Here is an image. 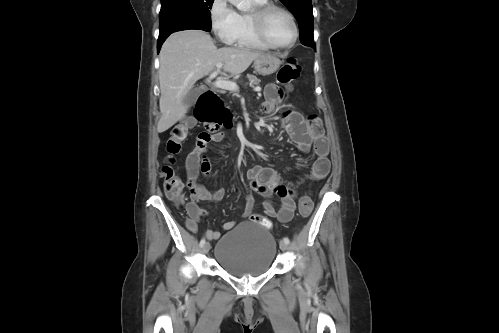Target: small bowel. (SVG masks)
Here are the masks:
<instances>
[{
	"mask_svg": "<svg viewBox=\"0 0 499 333\" xmlns=\"http://www.w3.org/2000/svg\"><path fill=\"white\" fill-rule=\"evenodd\" d=\"M265 101L261 106L264 113H271L275 107L282 101L284 92L282 89L270 83L265 87ZM283 126L288 132L292 141L298 149L304 153L313 151L315 160L312 165L311 178L315 181L324 179L330 171V161L328 159L329 146L324 135V129L321 120L317 116L304 117L295 110H287L283 113ZM223 133L202 132L198 136L195 149L188 155L186 160L187 181L186 185L190 192V201L187 209L190 214L195 213L196 217L204 214L200 208L199 202H218L224 196V189L220 188L210 191L200 183V176L208 177L211 174V163L207 156L208 146L211 142H219L223 139ZM246 177L249 188L265 198L263 211L269 217L277 218L282 223L289 222L295 211V190L283 184L277 177L274 170L269 167L255 165L247 170ZM280 198V207L276 209L273 197ZM255 202L251 194H246V206L243 212L245 218L252 215ZM236 225L235 221H229L223 224V230L227 231ZM192 230L196 229L195 223L190 225ZM221 233L219 231L208 230L207 237L210 240H217Z\"/></svg>",
	"mask_w": 499,
	"mask_h": 333,
	"instance_id": "obj_1",
	"label": "small bowel"
}]
</instances>
